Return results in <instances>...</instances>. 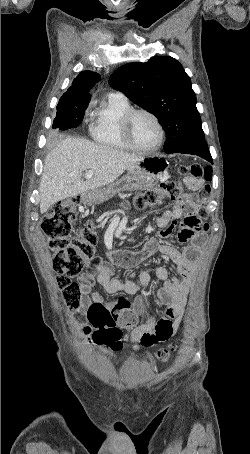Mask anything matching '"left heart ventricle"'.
Masks as SVG:
<instances>
[{"mask_svg": "<svg viewBox=\"0 0 250 454\" xmlns=\"http://www.w3.org/2000/svg\"><path fill=\"white\" fill-rule=\"evenodd\" d=\"M131 131L135 144L141 148L152 147L159 138V132L154 121L143 114L134 118Z\"/></svg>", "mask_w": 250, "mask_h": 454, "instance_id": "obj_1", "label": "left heart ventricle"}]
</instances>
